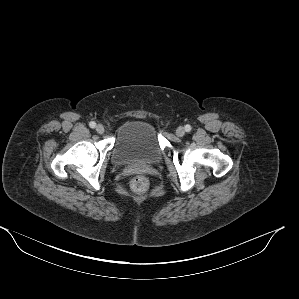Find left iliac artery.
<instances>
[{
    "label": "left iliac artery",
    "mask_w": 299,
    "mask_h": 299,
    "mask_svg": "<svg viewBox=\"0 0 299 299\" xmlns=\"http://www.w3.org/2000/svg\"><path fill=\"white\" fill-rule=\"evenodd\" d=\"M185 130H186L187 132H189V131L191 130V127H190L189 125H186V126H185Z\"/></svg>",
    "instance_id": "obj_1"
}]
</instances>
